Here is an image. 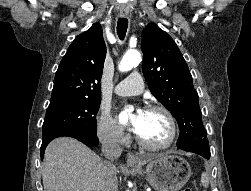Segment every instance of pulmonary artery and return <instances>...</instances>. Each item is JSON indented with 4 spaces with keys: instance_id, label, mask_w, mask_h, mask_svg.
Wrapping results in <instances>:
<instances>
[{
    "instance_id": "e3ab8cb5",
    "label": "pulmonary artery",
    "mask_w": 251,
    "mask_h": 191,
    "mask_svg": "<svg viewBox=\"0 0 251 191\" xmlns=\"http://www.w3.org/2000/svg\"><path fill=\"white\" fill-rule=\"evenodd\" d=\"M144 87L142 75L134 71L114 87V92L122 96L137 95L142 93Z\"/></svg>"
}]
</instances>
